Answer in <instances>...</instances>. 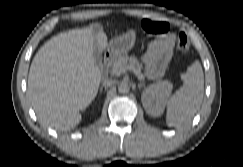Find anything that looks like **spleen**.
Masks as SVG:
<instances>
[{
  "label": "spleen",
  "instance_id": "1",
  "mask_svg": "<svg viewBox=\"0 0 243 167\" xmlns=\"http://www.w3.org/2000/svg\"><path fill=\"white\" fill-rule=\"evenodd\" d=\"M183 86L167 103L166 122L169 127L187 124L201 106L204 93V74L198 60L182 75Z\"/></svg>",
  "mask_w": 243,
  "mask_h": 167
}]
</instances>
